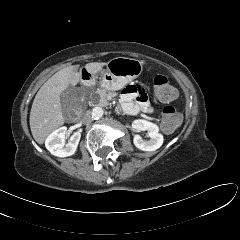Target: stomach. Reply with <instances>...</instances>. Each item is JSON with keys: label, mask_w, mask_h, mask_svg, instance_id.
Wrapping results in <instances>:
<instances>
[{"label": "stomach", "mask_w": 240, "mask_h": 240, "mask_svg": "<svg viewBox=\"0 0 240 240\" xmlns=\"http://www.w3.org/2000/svg\"><path fill=\"white\" fill-rule=\"evenodd\" d=\"M143 70V62L138 59L117 57L107 63L106 69H101L92 75L99 80L106 90H119L137 78Z\"/></svg>", "instance_id": "1"}]
</instances>
